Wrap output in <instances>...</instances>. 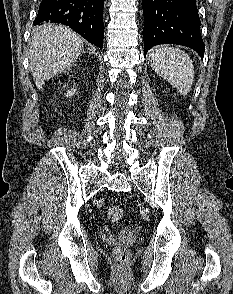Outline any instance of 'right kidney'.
I'll return each mask as SVG.
<instances>
[{"label": "right kidney", "mask_w": 233, "mask_h": 294, "mask_svg": "<svg viewBox=\"0 0 233 294\" xmlns=\"http://www.w3.org/2000/svg\"><path fill=\"white\" fill-rule=\"evenodd\" d=\"M75 89H71L70 91L67 92V97L73 96L75 93Z\"/></svg>", "instance_id": "obj_1"}]
</instances>
